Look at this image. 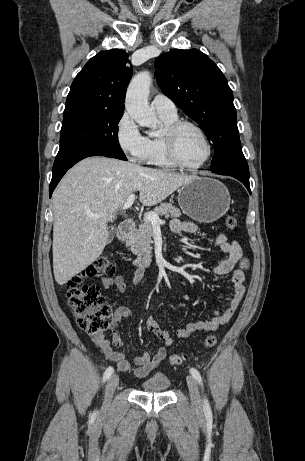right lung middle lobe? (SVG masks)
<instances>
[{"label":"right lung middle lobe","instance_id":"dd1d6c3e","mask_svg":"<svg viewBox=\"0 0 305 461\" xmlns=\"http://www.w3.org/2000/svg\"><path fill=\"white\" fill-rule=\"evenodd\" d=\"M122 112L93 107L65 108L56 157L89 149L104 150L115 158L127 160L118 142V123Z\"/></svg>","mask_w":305,"mask_h":461}]
</instances>
